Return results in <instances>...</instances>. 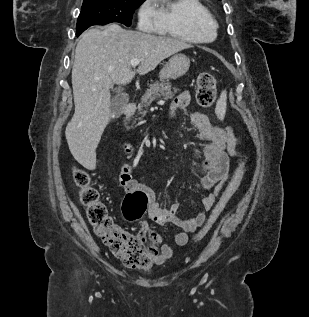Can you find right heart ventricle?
Returning <instances> with one entry per match:
<instances>
[{
    "instance_id": "right-heart-ventricle-1",
    "label": "right heart ventricle",
    "mask_w": 309,
    "mask_h": 317,
    "mask_svg": "<svg viewBox=\"0 0 309 317\" xmlns=\"http://www.w3.org/2000/svg\"><path fill=\"white\" fill-rule=\"evenodd\" d=\"M156 31L190 43H209L218 24L200 0H157Z\"/></svg>"
}]
</instances>
